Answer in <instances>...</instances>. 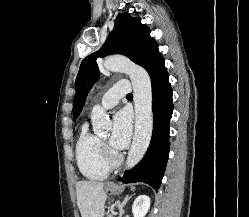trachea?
Returning <instances> with one entry per match:
<instances>
[{
	"instance_id": "trachea-1",
	"label": "trachea",
	"mask_w": 249,
	"mask_h": 217,
	"mask_svg": "<svg viewBox=\"0 0 249 217\" xmlns=\"http://www.w3.org/2000/svg\"><path fill=\"white\" fill-rule=\"evenodd\" d=\"M133 95L131 94V93H129L128 95H127V97H132Z\"/></svg>"
}]
</instances>
